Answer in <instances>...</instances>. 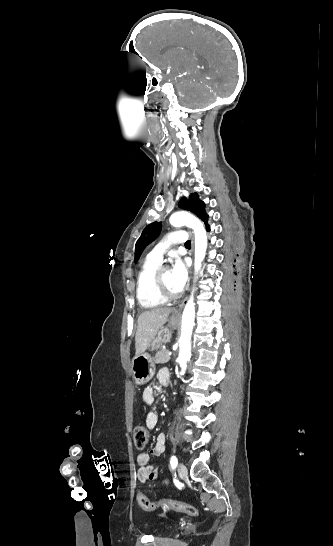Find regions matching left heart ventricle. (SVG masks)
Instances as JSON below:
<instances>
[{"mask_svg": "<svg viewBox=\"0 0 333 546\" xmlns=\"http://www.w3.org/2000/svg\"><path fill=\"white\" fill-rule=\"evenodd\" d=\"M163 283L165 285V287L172 293H177V291L174 289L173 285H172V280H171V274H170V271L166 270L163 274Z\"/></svg>", "mask_w": 333, "mask_h": 546, "instance_id": "1", "label": "left heart ventricle"}]
</instances>
